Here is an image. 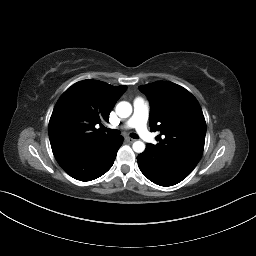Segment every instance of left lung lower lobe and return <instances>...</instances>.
Returning <instances> with one entry per match:
<instances>
[{
	"label": "left lung lower lobe",
	"instance_id": "0a47b994",
	"mask_svg": "<svg viewBox=\"0 0 256 256\" xmlns=\"http://www.w3.org/2000/svg\"><path fill=\"white\" fill-rule=\"evenodd\" d=\"M137 161L144 176L160 186L175 185L190 174L153 156L148 144L146 150L138 155Z\"/></svg>",
	"mask_w": 256,
	"mask_h": 256
}]
</instances>
